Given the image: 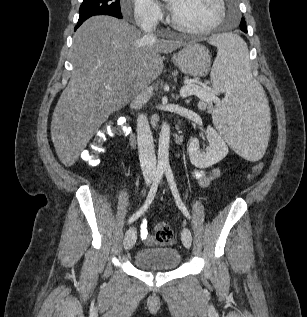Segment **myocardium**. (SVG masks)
<instances>
[{"label":"myocardium","mask_w":307,"mask_h":317,"mask_svg":"<svg viewBox=\"0 0 307 317\" xmlns=\"http://www.w3.org/2000/svg\"><path fill=\"white\" fill-rule=\"evenodd\" d=\"M217 4H218V8H219V12H218V16L215 19V21L206 26V27H202V28H190V27H186L184 25H182L180 22H178L175 17L173 16V14H171L170 16V24L171 26L183 33H187V34H191V35H206L211 33L212 31H214L215 29H217L221 23L223 22L225 15H226V4L224 0H216Z\"/></svg>","instance_id":"f54148a6"}]
</instances>
